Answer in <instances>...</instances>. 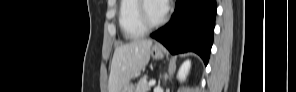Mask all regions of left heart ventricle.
Segmentation results:
<instances>
[{"label": "left heart ventricle", "instance_id": "obj_1", "mask_svg": "<svg viewBox=\"0 0 296 92\" xmlns=\"http://www.w3.org/2000/svg\"><path fill=\"white\" fill-rule=\"evenodd\" d=\"M147 17L151 22H157L163 15L158 10L157 3L149 1L146 7Z\"/></svg>", "mask_w": 296, "mask_h": 92}]
</instances>
